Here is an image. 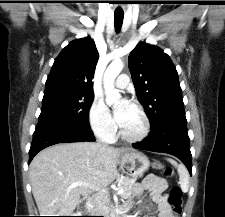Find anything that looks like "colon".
<instances>
[{
    "mask_svg": "<svg viewBox=\"0 0 225 217\" xmlns=\"http://www.w3.org/2000/svg\"><path fill=\"white\" fill-rule=\"evenodd\" d=\"M154 168L162 171L163 174L166 176H170L172 174L171 168L166 167L165 165H163L159 162L154 163ZM166 200L176 214L181 213V211H182V192L179 187L173 186L170 189V192H169Z\"/></svg>",
    "mask_w": 225,
    "mask_h": 217,
    "instance_id": "1",
    "label": "colon"
}]
</instances>
